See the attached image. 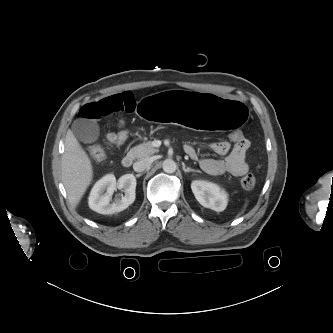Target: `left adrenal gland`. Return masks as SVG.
Returning <instances> with one entry per match:
<instances>
[{
	"label": "left adrenal gland",
	"mask_w": 333,
	"mask_h": 333,
	"mask_svg": "<svg viewBox=\"0 0 333 333\" xmlns=\"http://www.w3.org/2000/svg\"><path fill=\"white\" fill-rule=\"evenodd\" d=\"M183 170H184V172L185 173H187V172H200L199 170H195V169H192V168H189V167H185V166H183Z\"/></svg>",
	"instance_id": "a2214340"
}]
</instances>
